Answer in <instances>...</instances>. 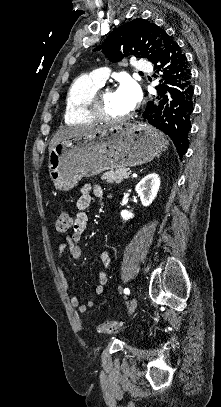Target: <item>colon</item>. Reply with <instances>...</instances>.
Segmentation results:
<instances>
[{"mask_svg": "<svg viewBox=\"0 0 221 407\" xmlns=\"http://www.w3.org/2000/svg\"><path fill=\"white\" fill-rule=\"evenodd\" d=\"M72 225V218L69 212L60 211L57 215L56 230L65 233ZM120 322L117 320H107L95 327V331L102 334H111L117 331Z\"/></svg>", "mask_w": 221, "mask_h": 407, "instance_id": "5ec220e1", "label": "colon"}]
</instances>
